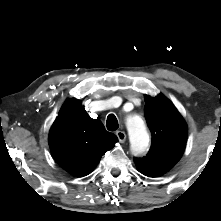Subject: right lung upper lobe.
I'll list each match as a JSON object with an SVG mask.
<instances>
[{"label":"right lung upper lobe","mask_w":221,"mask_h":221,"mask_svg":"<svg viewBox=\"0 0 221 221\" xmlns=\"http://www.w3.org/2000/svg\"><path fill=\"white\" fill-rule=\"evenodd\" d=\"M117 141V136L92 119L77 99L64 103L49 133L54 158L74 176L89 174Z\"/></svg>","instance_id":"obj_1"}]
</instances>
